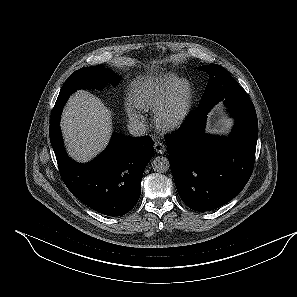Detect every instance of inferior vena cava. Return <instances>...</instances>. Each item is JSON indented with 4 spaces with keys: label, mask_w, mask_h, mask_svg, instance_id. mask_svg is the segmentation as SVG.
<instances>
[{
    "label": "inferior vena cava",
    "mask_w": 297,
    "mask_h": 297,
    "mask_svg": "<svg viewBox=\"0 0 297 297\" xmlns=\"http://www.w3.org/2000/svg\"><path fill=\"white\" fill-rule=\"evenodd\" d=\"M128 131L134 137L143 136L146 132V125L138 120H132L128 124Z\"/></svg>",
    "instance_id": "602c4592"
}]
</instances>
